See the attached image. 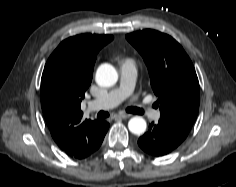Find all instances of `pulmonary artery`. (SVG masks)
I'll return each instance as SVG.
<instances>
[{"label":"pulmonary artery","mask_w":236,"mask_h":187,"mask_svg":"<svg viewBox=\"0 0 236 187\" xmlns=\"http://www.w3.org/2000/svg\"><path fill=\"white\" fill-rule=\"evenodd\" d=\"M120 75L119 87L109 91L100 98L92 100L88 106L90 111L112 108L132 93L137 78V69L134 63L131 61L122 63L120 66ZM136 107L142 110L148 117L158 116V112L144 102H138Z\"/></svg>","instance_id":"pulmonary-artery-1"}]
</instances>
